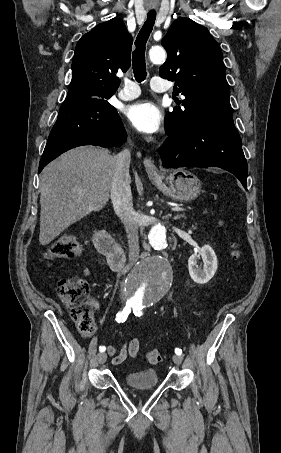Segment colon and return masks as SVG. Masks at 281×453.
I'll use <instances>...</instances> for the list:
<instances>
[{
    "label": "colon",
    "mask_w": 281,
    "mask_h": 453,
    "mask_svg": "<svg viewBox=\"0 0 281 453\" xmlns=\"http://www.w3.org/2000/svg\"><path fill=\"white\" fill-rule=\"evenodd\" d=\"M225 220L220 219L218 226L223 227ZM86 254L85 247L73 238H58L51 241L47 247L46 257L49 261L63 264L66 260L74 257H83ZM236 259L241 264L242 257L239 249H236ZM61 295L66 305L77 317V328L80 331L92 329V314L84 304V298L89 291L88 282L83 278H69L61 280ZM144 358L149 363H161L162 355L157 349H146Z\"/></svg>",
    "instance_id": "obj_1"
}]
</instances>
